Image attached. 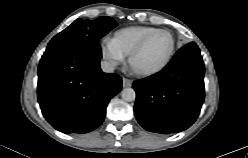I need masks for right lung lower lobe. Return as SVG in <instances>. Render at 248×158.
<instances>
[{"label": "right lung lower lobe", "instance_id": "98d812e1", "mask_svg": "<svg viewBox=\"0 0 248 158\" xmlns=\"http://www.w3.org/2000/svg\"><path fill=\"white\" fill-rule=\"evenodd\" d=\"M96 40L53 38L38 68V101L58 131L87 133L104 120L106 106L122 87L121 77L100 69Z\"/></svg>", "mask_w": 248, "mask_h": 158}]
</instances>
